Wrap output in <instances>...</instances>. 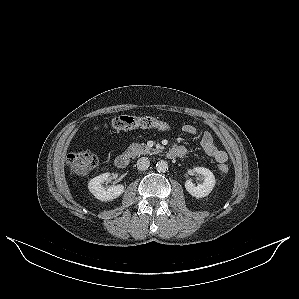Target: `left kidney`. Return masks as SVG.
Segmentation results:
<instances>
[{"instance_id": "left-kidney-1", "label": "left kidney", "mask_w": 299, "mask_h": 299, "mask_svg": "<svg viewBox=\"0 0 299 299\" xmlns=\"http://www.w3.org/2000/svg\"><path fill=\"white\" fill-rule=\"evenodd\" d=\"M192 171L203 176V183L195 186L191 180H187L185 182L186 190L196 198L206 197L215 186L216 180L214 174L204 167H196Z\"/></svg>"}]
</instances>
